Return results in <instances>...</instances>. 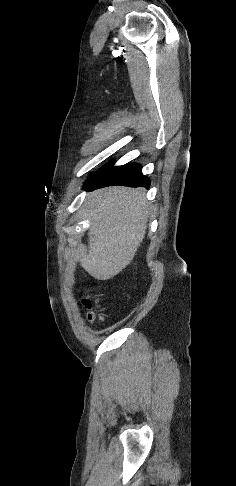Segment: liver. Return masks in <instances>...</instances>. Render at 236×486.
<instances>
[{"mask_svg":"<svg viewBox=\"0 0 236 486\" xmlns=\"http://www.w3.org/2000/svg\"><path fill=\"white\" fill-rule=\"evenodd\" d=\"M89 251L81 266L95 279L108 280L133 260L145 237L149 205L145 189L109 187L88 194Z\"/></svg>","mask_w":236,"mask_h":486,"instance_id":"6515ba94","label":"liver"}]
</instances>
